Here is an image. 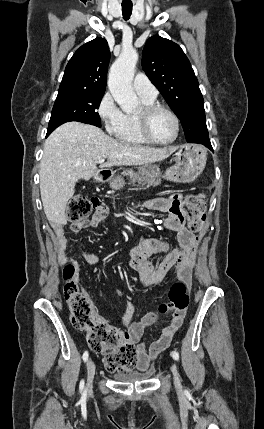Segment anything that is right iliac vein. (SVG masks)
Listing matches in <instances>:
<instances>
[{
  "instance_id": "right-iliac-vein-1",
  "label": "right iliac vein",
  "mask_w": 264,
  "mask_h": 429,
  "mask_svg": "<svg viewBox=\"0 0 264 429\" xmlns=\"http://www.w3.org/2000/svg\"><path fill=\"white\" fill-rule=\"evenodd\" d=\"M94 375H95V364L91 359H89L87 361V383L89 386L93 382Z\"/></svg>"
}]
</instances>
